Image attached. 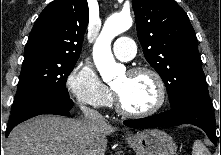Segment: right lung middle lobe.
<instances>
[{"label":"right lung middle lobe","mask_w":221,"mask_h":155,"mask_svg":"<svg viewBox=\"0 0 221 155\" xmlns=\"http://www.w3.org/2000/svg\"><path fill=\"white\" fill-rule=\"evenodd\" d=\"M76 62L49 56L24 57L12 111L37 93L69 98L66 80Z\"/></svg>","instance_id":"1"}]
</instances>
